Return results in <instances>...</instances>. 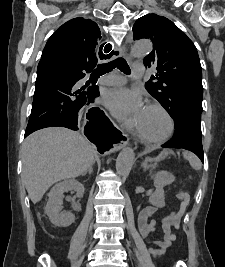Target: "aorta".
<instances>
[{"instance_id":"1","label":"aorta","mask_w":225,"mask_h":267,"mask_svg":"<svg viewBox=\"0 0 225 267\" xmlns=\"http://www.w3.org/2000/svg\"><path fill=\"white\" fill-rule=\"evenodd\" d=\"M152 50L149 41H138L131 48V56L139 58L147 55ZM134 152L131 148H124L116 159V171L120 176H126L132 168Z\"/></svg>"}]
</instances>
